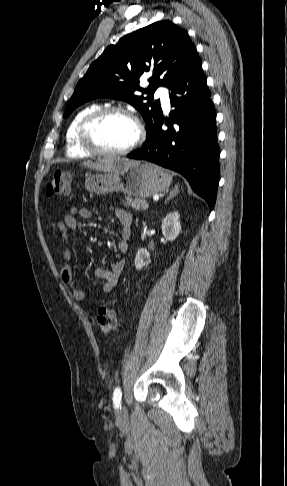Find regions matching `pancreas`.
I'll return each mask as SVG.
<instances>
[{
	"mask_svg": "<svg viewBox=\"0 0 287 486\" xmlns=\"http://www.w3.org/2000/svg\"><path fill=\"white\" fill-rule=\"evenodd\" d=\"M123 203L125 206H130L136 211H140L143 210V205L147 202L146 200L140 198L133 199L132 197H126L125 200H123Z\"/></svg>",
	"mask_w": 287,
	"mask_h": 486,
	"instance_id": "cf45deb5",
	"label": "pancreas"
}]
</instances>
